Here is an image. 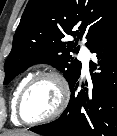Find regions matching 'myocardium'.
Masks as SVG:
<instances>
[{
    "label": "myocardium",
    "instance_id": "1",
    "mask_svg": "<svg viewBox=\"0 0 117 136\" xmlns=\"http://www.w3.org/2000/svg\"><path fill=\"white\" fill-rule=\"evenodd\" d=\"M44 79H52L57 84L58 90L60 93L59 103H58L56 109L50 115L40 118V119H37V120H25L22 117V113H21V105H22L23 99H24L25 95L27 94V92L37 82L44 80ZM69 97H70L69 85H68V82H67L65 76L61 72H59L57 70H48V71L40 72V73L34 75L32 78H30L29 81L24 85V87L20 91L19 96L17 98L16 107H15L16 118L20 122L27 124V125L43 124V123L53 121L63 113V111L65 110V108L68 104Z\"/></svg>",
    "mask_w": 117,
    "mask_h": 136
}]
</instances>
